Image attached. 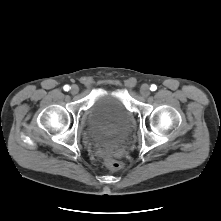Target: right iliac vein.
<instances>
[{
    "label": "right iliac vein",
    "instance_id": "obj_1",
    "mask_svg": "<svg viewBox=\"0 0 221 221\" xmlns=\"http://www.w3.org/2000/svg\"><path fill=\"white\" fill-rule=\"evenodd\" d=\"M79 92V88L77 85H72L71 87V93L72 94H77Z\"/></svg>",
    "mask_w": 221,
    "mask_h": 221
}]
</instances>
